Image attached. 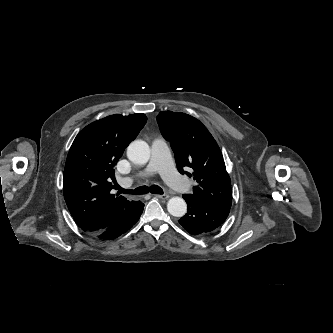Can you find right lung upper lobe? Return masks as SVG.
Wrapping results in <instances>:
<instances>
[{
	"label": "right lung upper lobe",
	"mask_w": 333,
	"mask_h": 333,
	"mask_svg": "<svg viewBox=\"0 0 333 333\" xmlns=\"http://www.w3.org/2000/svg\"><path fill=\"white\" fill-rule=\"evenodd\" d=\"M147 121L143 113L110 115L86 126L73 141L64 169L63 193L76 224L100 231L135 208L111 194L114 167Z\"/></svg>",
	"instance_id": "1"
}]
</instances>
